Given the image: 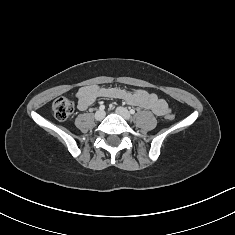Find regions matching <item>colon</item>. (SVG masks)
<instances>
[{
	"label": "colon",
	"instance_id": "5ec220e1",
	"mask_svg": "<svg viewBox=\"0 0 235 235\" xmlns=\"http://www.w3.org/2000/svg\"><path fill=\"white\" fill-rule=\"evenodd\" d=\"M52 110L56 119L66 120L73 113V104L69 99L59 97L54 100ZM166 119L172 121L174 119V114L168 113Z\"/></svg>",
	"mask_w": 235,
	"mask_h": 235
}]
</instances>
